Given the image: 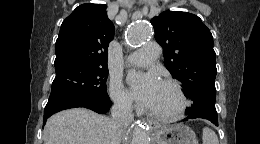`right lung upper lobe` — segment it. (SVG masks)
Listing matches in <instances>:
<instances>
[{
  "mask_svg": "<svg viewBox=\"0 0 260 144\" xmlns=\"http://www.w3.org/2000/svg\"><path fill=\"white\" fill-rule=\"evenodd\" d=\"M114 37L106 5L82 4L62 23L56 40L55 68L65 65L107 66L108 46Z\"/></svg>",
  "mask_w": 260,
  "mask_h": 144,
  "instance_id": "obj_1",
  "label": "right lung upper lobe"
}]
</instances>
